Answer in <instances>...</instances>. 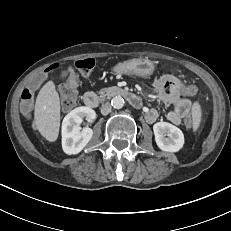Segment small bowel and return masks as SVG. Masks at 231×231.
<instances>
[{
  "instance_id": "1",
  "label": "small bowel",
  "mask_w": 231,
  "mask_h": 231,
  "mask_svg": "<svg viewBox=\"0 0 231 231\" xmlns=\"http://www.w3.org/2000/svg\"><path fill=\"white\" fill-rule=\"evenodd\" d=\"M180 80L173 75H162L154 82V89L159 99L166 105L172 107L166 114V119L174 125H180L190 114L192 109L191 101L178 93L177 86ZM159 117L158 111L154 108L146 109L145 119L148 123H154Z\"/></svg>"
}]
</instances>
